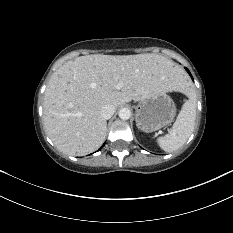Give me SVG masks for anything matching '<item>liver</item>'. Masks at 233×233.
Instances as JSON below:
<instances>
[{"instance_id":"obj_1","label":"liver","mask_w":233,"mask_h":233,"mask_svg":"<svg viewBox=\"0 0 233 233\" xmlns=\"http://www.w3.org/2000/svg\"><path fill=\"white\" fill-rule=\"evenodd\" d=\"M185 86L183 70L161 55L77 57L63 64L48 83L43 103L44 127L58 150L85 155L105 140L102 106L112 104L117 108L132 100L184 91Z\"/></svg>"}]
</instances>
